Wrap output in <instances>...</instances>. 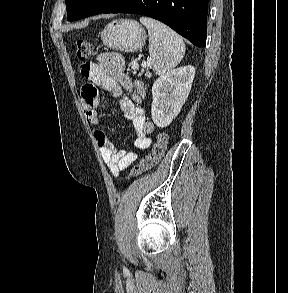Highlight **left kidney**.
<instances>
[{
  "label": "left kidney",
  "mask_w": 288,
  "mask_h": 293,
  "mask_svg": "<svg viewBox=\"0 0 288 293\" xmlns=\"http://www.w3.org/2000/svg\"><path fill=\"white\" fill-rule=\"evenodd\" d=\"M195 76L193 66H184L161 75L152 86L151 115L160 128L168 126L185 103Z\"/></svg>",
  "instance_id": "5707ae66"
}]
</instances>
